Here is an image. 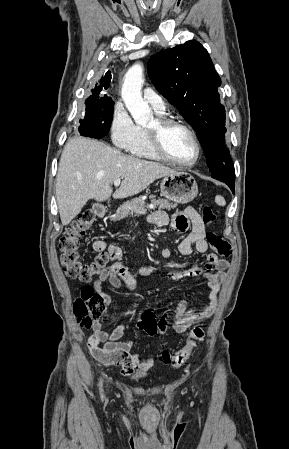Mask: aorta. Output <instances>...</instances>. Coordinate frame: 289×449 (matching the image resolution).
Returning a JSON list of instances; mask_svg holds the SVG:
<instances>
[{"instance_id": "aorta-1", "label": "aorta", "mask_w": 289, "mask_h": 449, "mask_svg": "<svg viewBox=\"0 0 289 449\" xmlns=\"http://www.w3.org/2000/svg\"><path fill=\"white\" fill-rule=\"evenodd\" d=\"M143 82V66L140 63H135L125 74L121 92L128 111L138 125H146L153 120L152 110L142 98Z\"/></svg>"}]
</instances>
